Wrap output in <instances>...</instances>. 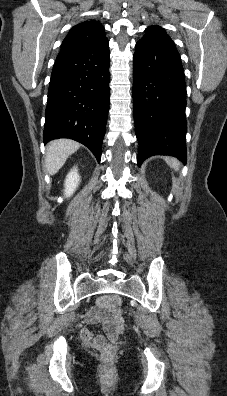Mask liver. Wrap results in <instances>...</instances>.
Listing matches in <instances>:
<instances>
[{"instance_id": "6515ba94", "label": "liver", "mask_w": 227, "mask_h": 396, "mask_svg": "<svg viewBox=\"0 0 227 396\" xmlns=\"http://www.w3.org/2000/svg\"><path fill=\"white\" fill-rule=\"evenodd\" d=\"M80 147L78 142L70 139H58L50 142L46 148V169L50 175L56 174L65 164L67 158Z\"/></svg>"}]
</instances>
